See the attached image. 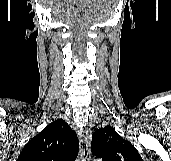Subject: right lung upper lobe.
I'll return each mask as SVG.
<instances>
[{
    "mask_svg": "<svg viewBox=\"0 0 171 161\" xmlns=\"http://www.w3.org/2000/svg\"><path fill=\"white\" fill-rule=\"evenodd\" d=\"M78 149L76 133L57 119L24 146L17 161H74Z\"/></svg>",
    "mask_w": 171,
    "mask_h": 161,
    "instance_id": "obj_1",
    "label": "right lung upper lobe"
}]
</instances>
